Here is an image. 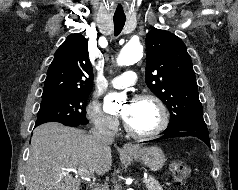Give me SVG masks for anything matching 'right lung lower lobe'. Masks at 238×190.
<instances>
[{
	"instance_id": "obj_1",
	"label": "right lung lower lobe",
	"mask_w": 238,
	"mask_h": 190,
	"mask_svg": "<svg viewBox=\"0 0 238 190\" xmlns=\"http://www.w3.org/2000/svg\"><path fill=\"white\" fill-rule=\"evenodd\" d=\"M67 126H79V125H82V124H66Z\"/></svg>"
}]
</instances>
